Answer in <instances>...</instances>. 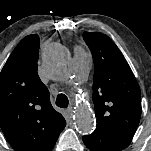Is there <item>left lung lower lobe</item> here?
<instances>
[{
	"label": "left lung lower lobe",
	"instance_id": "1",
	"mask_svg": "<svg viewBox=\"0 0 151 151\" xmlns=\"http://www.w3.org/2000/svg\"><path fill=\"white\" fill-rule=\"evenodd\" d=\"M132 140L128 135L107 133L95 130L91 135L84 136L83 142L91 151H121Z\"/></svg>",
	"mask_w": 151,
	"mask_h": 151
}]
</instances>
